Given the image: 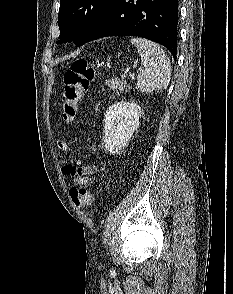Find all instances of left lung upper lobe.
I'll return each mask as SVG.
<instances>
[{"mask_svg": "<svg viewBox=\"0 0 233 294\" xmlns=\"http://www.w3.org/2000/svg\"><path fill=\"white\" fill-rule=\"evenodd\" d=\"M112 0H60L57 43L74 41L82 46L102 20Z\"/></svg>", "mask_w": 233, "mask_h": 294, "instance_id": "obj_1", "label": "left lung upper lobe"}]
</instances>
